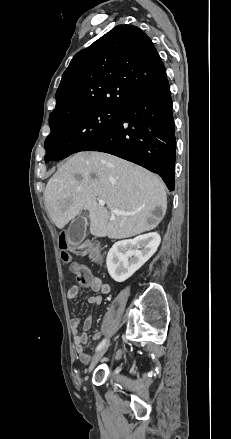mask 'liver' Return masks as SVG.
Segmentation results:
<instances>
[{"instance_id": "obj_1", "label": "liver", "mask_w": 231, "mask_h": 439, "mask_svg": "<svg viewBox=\"0 0 231 439\" xmlns=\"http://www.w3.org/2000/svg\"><path fill=\"white\" fill-rule=\"evenodd\" d=\"M44 198L57 228L87 210L90 233L111 239L153 229L167 209L165 184L158 175L101 152H79L60 165L46 185ZM108 209L129 214H112Z\"/></svg>"}]
</instances>
